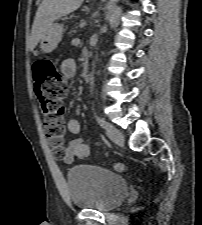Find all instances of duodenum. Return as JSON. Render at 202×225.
Instances as JSON below:
<instances>
[{"label": "duodenum", "instance_id": "obj_1", "mask_svg": "<svg viewBox=\"0 0 202 225\" xmlns=\"http://www.w3.org/2000/svg\"><path fill=\"white\" fill-rule=\"evenodd\" d=\"M82 69L84 75H86L89 70V56L86 53L82 54Z\"/></svg>", "mask_w": 202, "mask_h": 225}]
</instances>
